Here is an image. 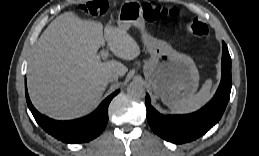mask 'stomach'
I'll use <instances>...</instances> for the list:
<instances>
[{
  "instance_id": "1",
  "label": "stomach",
  "mask_w": 259,
  "mask_h": 156,
  "mask_svg": "<svg viewBox=\"0 0 259 156\" xmlns=\"http://www.w3.org/2000/svg\"><path fill=\"white\" fill-rule=\"evenodd\" d=\"M131 25L144 27L141 11L126 2L119 13L118 28ZM150 59L144 65V74L154 93L166 105H172L194 95L199 85V72L193 59L174 50L167 42L144 36Z\"/></svg>"
}]
</instances>
